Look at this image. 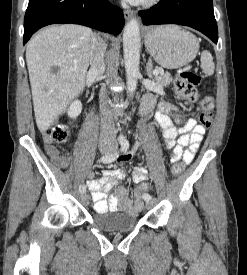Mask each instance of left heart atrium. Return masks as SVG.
<instances>
[{
    "mask_svg": "<svg viewBox=\"0 0 247 275\" xmlns=\"http://www.w3.org/2000/svg\"><path fill=\"white\" fill-rule=\"evenodd\" d=\"M125 1H127L129 3H132V4H138V3H140L143 0H125Z\"/></svg>",
    "mask_w": 247,
    "mask_h": 275,
    "instance_id": "39dd6f15",
    "label": "left heart atrium"
}]
</instances>
